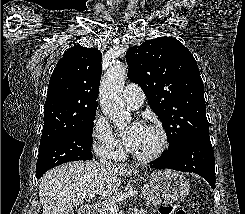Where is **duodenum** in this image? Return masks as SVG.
Masks as SVG:
<instances>
[{
  "label": "duodenum",
  "mask_w": 245,
  "mask_h": 214,
  "mask_svg": "<svg viewBox=\"0 0 245 214\" xmlns=\"http://www.w3.org/2000/svg\"><path fill=\"white\" fill-rule=\"evenodd\" d=\"M98 211L97 205H89L81 208L78 214H97Z\"/></svg>",
  "instance_id": "1"
}]
</instances>
